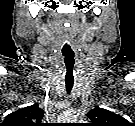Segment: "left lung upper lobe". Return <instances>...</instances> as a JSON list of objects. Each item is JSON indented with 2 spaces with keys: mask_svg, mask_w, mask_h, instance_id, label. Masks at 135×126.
I'll return each mask as SVG.
<instances>
[{
  "mask_svg": "<svg viewBox=\"0 0 135 126\" xmlns=\"http://www.w3.org/2000/svg\"><path fill=\"white\" fill-rule=\"evenodd\" d=\"M87 115L92 126H122L126 121L123 117L98 106L90 110Z\"/></svg>",
  "mask_w": 135,
  "mask_h": 126,
  "instance_id": "1",
  "label": "left lung upper lobe"
}]
</instances>
